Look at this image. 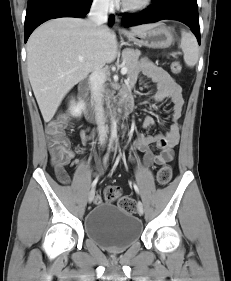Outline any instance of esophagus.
Wrapping results in <instances>:
<instances>
[{"label":"esophagus","mask_w":231,"mask_h":281,"mask_svg":"<svg viewBox=\"0 0 231 281\" xmlns=\"http://www.w3.org/2000/svg\"><path fill=\"white\" fill-rule=\"evenodd\" d=\"M116 22H119V19H118V18H116ZM119 31L125 32V30H124V29H121V28H119Z\"/></svg>","instance_id":"obj_1"}]
</instances>
